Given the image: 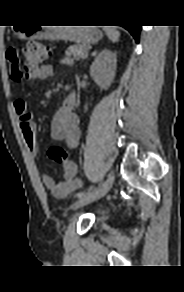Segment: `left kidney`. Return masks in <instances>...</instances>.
<instances>
[{
  "mask_svg": "<svg viewBox=\"0 0 184 292\" xmlns=\"http://www.w3.org/2000/svg\"><path fill=\"white\" fill-rule=\"evenodd\" d=\"M117 56L110 50H103L95 58L90 67L92 79L102 88L108 89L116 72Z\"/></svg>",
  "mask_w": 184,
  "mask_h": 292,
  "instance_id": "obj_1",
  "label": "left kidney"
}]
</instances>
